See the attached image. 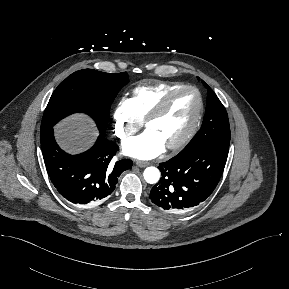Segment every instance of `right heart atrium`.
I'll return each mask as SVG.
<instances>
[{
    "instance_id": "obj_1",
    "label": "right heart atrium",
    "mask_w": 289,
    "mask_h": 289,
    "mask_svg": "<svg viewBox=\"0 0 289 289\" xmlns=\"http://www.w3.org/2000/svg\"><path fill=\"white\" fill-rule=\"evenodd\" d=\"M113 131L121 141L135 134L141 127L136 118L132 102L128 98H121L113 111Z\"/></svg>"
}]
</instances>
